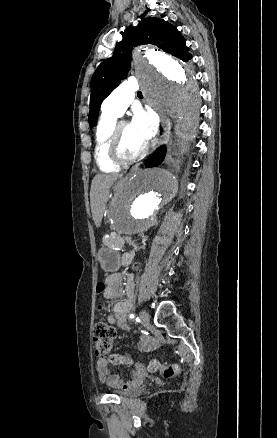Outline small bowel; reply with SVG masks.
<instances>
[{
  "label": "small bowel",
  "instance_id": "small-bowel-1",
  "mask_svg": "<svg viewBox=\"0 0 277 438\" xmlns=\"http://www.w3.org/2000/svg\"><path fill=\"white\" fill-rule=\"evenodd\" d=\"M131 255H127L125 260L130 261ZM136 289V283L134 277H129L126 282L122 283V277L119 274H112L106 278V289L104 291V298L111 300L113 298L125 294V299L115 302L112 305L111 311L108 312L106 320L109 324H116L123 329H131L127 324L125 317L126 314L131 311L134 303V294ZM130 360H131V356ZM117 365V363H113ZM138 369L128 378H123L119 374L111 372L109 363L105 358H100L96 362V373L99 379L109 386L129 390L136 387L143 379V367L137 365Z\"/></svg>",
  "mask_w": 277,
  "mask_h": 438
}]
</instances>
